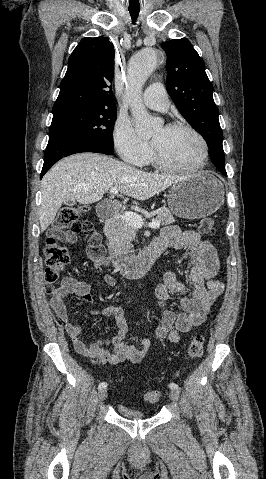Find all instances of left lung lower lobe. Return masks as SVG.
<instances>
[{
	"label": "left lung lower lobe",
	"instance_id": "left-lung-lower-lobe-1",
	"mask_svg": "<svg viewBox=\"0 0 266 479\" xmlns=\"http://www.w3.org/2000/svg\"><path fill=\"white\" fill-rule=\"evenodd\" d=\"M221 173H222L223 175L227 176L226 171H221Z\"/></svg>",
	"mask_w": 266,
	"mask_h": 479
}]
</instances>
